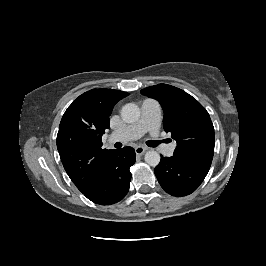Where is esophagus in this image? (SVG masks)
Instances as JSON below:
<instances>
[{"label":"esophagus","instance_id":"1","mask_svg":"<svg viewBox=\"0 0 266 266\" xmlns=\"http://www.w3.org/2000/svg\"><path fill=\"white\" fill-rule=\"evenodd\" d=\"M146 150H147L146 147H143V146H137V147L135 148V153H136L137 155H142V154H144V153L146 152Z\"/></svg>","mask_w":266,"mask_h":266}]
</instances>
